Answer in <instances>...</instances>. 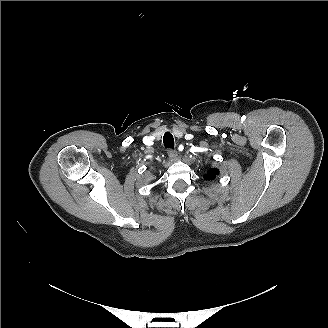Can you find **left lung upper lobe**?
I'll return each mask as SVG.
<instances>
[{"instance_id": "obj_1", "label": "left lung upper lobe", "mask_w": 328, "mask_h": 328, "mask_svg": "<svg viewBox=\"0 0 328 328\" xmlns=\"http://www.w3.org/2000/svg\"><path fill=\"white\" fill-rule=\"evenodd\" d=\"M218 174H219L218 169L213 168L204 176V179L205 180H214Z\"/></svg>"}]
</instances>
